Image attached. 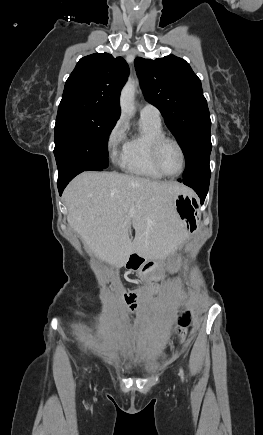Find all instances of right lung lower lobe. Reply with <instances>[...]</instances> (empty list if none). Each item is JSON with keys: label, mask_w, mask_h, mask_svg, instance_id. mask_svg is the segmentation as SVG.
I'll use <instances>...</instances> for the list:
<instances>
[{"label": "right lung lower lobe", "mask_w": 263, "mask_h": 435, "mask_svg": "<svg viewBox=\"0 0 263 435\" xmlns=\"http://www.w3.org/2000/svg\"><path fill=\"white\" fill-rule=\"evenodd\" d=\"M102 170L105 169L96 166L84 165V164H71L65 167L62 171L59 172L58 175L57 184H58L59 194L60 195L62 194L67 184L79 173L83 171H102Z\"/></svg>", "instance_id": "98d812e1"}]
</instances>
